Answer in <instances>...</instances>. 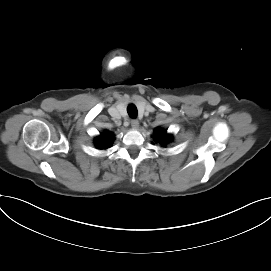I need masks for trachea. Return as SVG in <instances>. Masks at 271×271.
I'll use <instances>...</instances> for the list:
<instances>
[{
  "mask_svg": "<svg viewBox=\"0 0 271 271\" xmlns=\"http://www.w3.org/2000/svg\"><path fill=\"white\" fill-rule=\"evenodd\" d=\"M127 112L131 118H136L137 117V108L134 104H130L127 107Z\"/></svg>",
  "mask_w": 271,
  "mask_h": 271,
  "instance_id": "obj_1",
  "label": "trachea"
}]
</instances>
